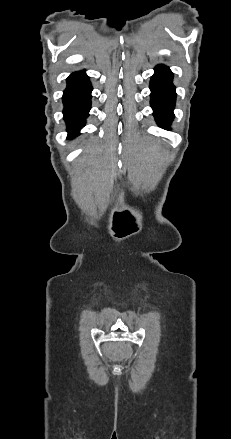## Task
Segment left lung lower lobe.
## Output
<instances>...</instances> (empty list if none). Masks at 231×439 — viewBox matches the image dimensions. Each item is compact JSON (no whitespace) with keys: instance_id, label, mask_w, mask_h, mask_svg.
I'll return each instance as SVG.
<instances>
[{"instance_id":"obj_1","label":"left lung lower lobe","mask_w":231,"mask_h":439,"mask_svg":"<svg viewBox=\"0 0 231 439\" xmlns=\"http://www.w3.org/2000/svg\"><path fill=\"white\" fill-rule=\"evenodd\" d=\"M172 79L173 73L170 69L164 65H158L150 82L153 115L157 124L164 129H168L174 118L176 92Z\"/></svg>"}]
</instances>
